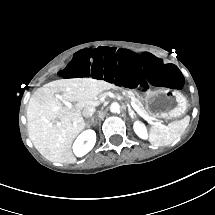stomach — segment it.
<instances>
[{"mask_svg": "<svg viewBox=\"0 0 215 215\" xmlns=\"http://www.w3.org/2000/svg\"><path fill=\"white\" fill-rule=\"evenodd\" d=\"M147 111L157 118L172 119L182 116L187 110V99L178 90L158 88L138 94Z\"/></svg>", "mask_w": 215, "mask_h": 215, "instance_id": "1", "label": "stomach"}]
</instances>
